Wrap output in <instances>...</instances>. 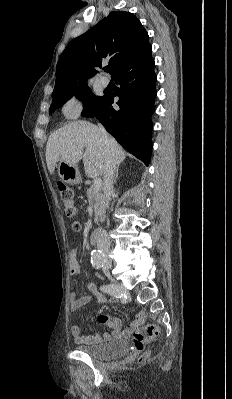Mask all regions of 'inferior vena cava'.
Returning <instances> with one entry per match:
<instances>
[{
	"label": "inferior vena cava",
	"instance_id": "602c4592",
	"mask_svg": "<svg viewBox=\"0 0 232 399\" xmlns=\"http://www.w3.org/2000/svg\"><path fill=\"white\" fill-rule=\"evenodd\" d=\"M99 130H100V134L103 138V140H105L106 144H110V138H109V134H107V132H105L103 126H98ZM116 160H114L113 158V154H109V158H108V162L106 164V168L103 172V180H104V194L106 196V200H110V196L113 192V176H114V172L116 170ZM104 239H106V235H100V237H98L97 239V248L102 250L103 252H110L111 250V241H104ZM104 261L106 263H110L111 259L109 256H104Z\"/></svg>",
	"mask_w": 232,
	"mask_h": 399
}]
</instances>
